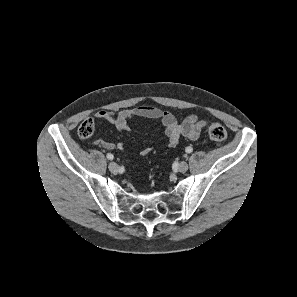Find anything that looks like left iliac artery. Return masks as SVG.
<instances>
[{
  "label": "left iliac artery",
  "instance_id": "obj_1",
  "mask_svg": "<svg viewBox=\"0 0 297 297\" xmlns=\"http://www.w3.org/2000/svg\"><path fill=\"white\" fill-rule=\"evenodd\" d=\"M193 151L192 147L188 146L186 147V152L187 153H191Z\"/></svg>",
  "mask_w": 297,
  "mask_h": 297
}]
</instances>
